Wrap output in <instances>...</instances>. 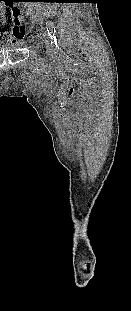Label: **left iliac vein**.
Wrapping results in <instances>:
<instances>
[{"instance_id":"left-iliac-vein-1","label":"left iliac vein","mask_w":131,"mask_h":311,"mask_svg":"<svg viewBox=\"0 0 131 311\" xmlns=\"http://www.w3.org/2000/svg\"><path fill=\"white\" fill-rule=\"evenodd\" d=\"M43 40H44V44H45V48L48 54H52L53 53V45L50 41L49 38V34L45 31L43 34Z\"/></svg>"}]
</instances>
